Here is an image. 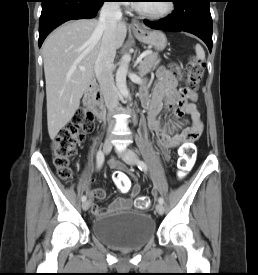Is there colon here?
Returning a JSON list of instances; mask_svg holds the SVG:
<instances>
[{
    "label": "colon",
    "instance_id": "colon-1",
    "mask_svg": "<svg viewBox=\"0 0 258 275\" xmlns=\"http://www.w3.org/2000/svg\"><path fill=\"white\" fill-rule=\"evenodd\" d=\"M172 70L180 74L184 84L182 90L194 92L197 84L203 75V62L201 59L190 57L185 72L181 73L178 65H172ZM94 127V118L90 111L80 109L73 117L72 121L63 127L55 136L52 142L53 162L58 169L59 176L64 180L72 179V169L70 162L75 154L76 147L83 139L84 133L89 132ZM194 158V147L192 143H186L180 152L178 161V174L180 177L191 168ZM113 181L121 192H128L131 189V182L127 174L115 172ZM150 201L147 197H139L136 205L139 209L148 208Z\"/></svg>",
    "mask_w": 258,
    "mask_h": 275
}]
</instances>
